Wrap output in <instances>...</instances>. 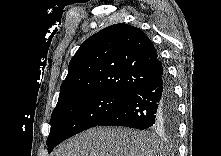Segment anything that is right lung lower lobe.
<instances>
[{
	"label": "right lung lower lobe",
	"instance_id": "98d812e1",
	"mask_svg": "<svg viewBox=\"0 0 221 156\" xmlns=\"http://www.w3.org/2000/svg\"><path fill=\"white\" fill-rule=\"evenodd\" d=\"M178 124L177 102L165 71L144 83L98 126H127L136 129L169 130Z\"/></svg>",
	"mask_w": 221,
	"mask_h": 156
}]
</instances>
